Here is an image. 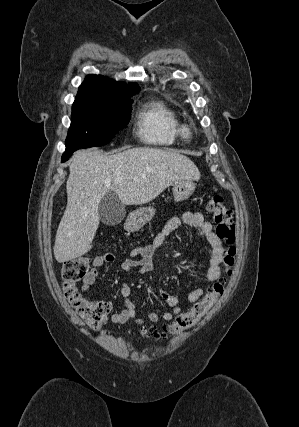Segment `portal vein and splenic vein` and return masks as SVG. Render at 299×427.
<instances>
[{"mask_svg": "<svg viewBox=\"0 0 299 427\" xmlns=\"http://www.w3.org/2000/svg\"><path fill=\"white\" fill-rule=\"evenodd\" d=\"M134 180H137V178H134ZM105 185L106 186H110L111 185V181L110 180L105 181Z\"/></svg>", "mask_w": 299, "mask_h": 427, "instance_id": "obj_1", "label": "portal vein and splenic vein"}]
</instances>
